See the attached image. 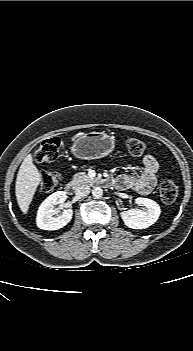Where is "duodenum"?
<instances>
[{"instance_id": "duodenum-1", "label": "duodenum", "mask_w": 193, "mask_h": 351, "mask_svg": "<svg viewBox=\"0 0 193 351\" xmlns=\"http://www.w3.org/2000/svg\"><path fill=\"white\" fill-rule=\"evenodd\" d=\"M102 184L104 185H109L111 183L110 179H103ZM66 191L69 195H73L75 193V183L73 181H70L66 185Z\"/></svg>"}]
</instances>
